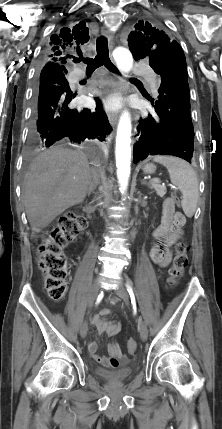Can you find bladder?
I'll return each mask as SVG.
<instances>
[{"mask_svg": "<svg viewBox=\"0 0 222 429\" xmlns=\"http://www.w3.org/2000/svg\"><path fill=\"white\" fill-rule=\"evenodd\" d=\"M134 366V364H131L127 367H122L115 370H108L101 367H96L94 369V374L97 377L104 379L108 382H123L131 377L134 370Z\"/></svg>", "mask_w": 222, "mask_h": 429, "instance_id": "obj_1", "label": "bladder"}]
</instances>
